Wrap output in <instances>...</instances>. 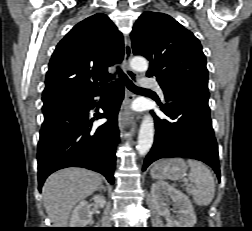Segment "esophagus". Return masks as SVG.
Wrapping results in <instances>:
<instances>
[{"label":"esophagus","instance_id":"esophagus-1","mask_svg":"<svg viewBox=\"0 0 252 231\" xmlns=\"http://www.w3.org/2000/svg\"><path fill=\"white\" fill-rule=\"evenodd\" d=\"M132 57V48L129 40L124 37V60H123V69L128 77L134 82L137 81L136 73L130 67V59ZM134 94L126 90L125 99L121 106L119 117H118V125L119 129L123 131L125 128H133L135 126L134 115L131 110V103L134 99Z\"/></svg>","mask_w":252,"mask_h":231}]
</instances>
